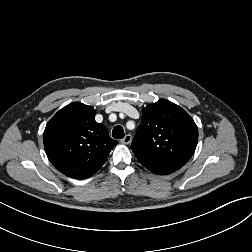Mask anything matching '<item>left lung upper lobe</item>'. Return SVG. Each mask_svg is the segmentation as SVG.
I'll use <instances>...</instances> for the list:
<instances>
[{
  "instance_id": "obj_1",
  "label": "left lung upper lobe",
  "mask_w": 252,
  "mask_h": 252,
  "mask_svg": "<svg viewBox=\"0 0 252 252\" xmlns=\"http://www.w3.org/2000/svg\"><path fill=\"white\" fill-rule=\"evenodd\" d=\"M194 120L178 105L160 99L142 110L141 124L131 149L139 160L179 159L188 161L197 146Z\"/></svg>"
}]
</instances>
